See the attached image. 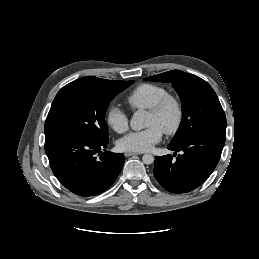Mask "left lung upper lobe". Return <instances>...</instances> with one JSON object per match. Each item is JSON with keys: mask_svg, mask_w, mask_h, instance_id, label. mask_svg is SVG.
<instances>
[{"mask_svg": "<svg viewBox=\"0 0 259 259\" xmlns=\"http://www.w3.org/2000/svg\"><path fill=\"white\" fill-rule=\"evenodd\" d=\"M144 80L170 82L181 98L183 118L171 145H181L200 133L225 135V113L215 91L206 81L180 70L168 71Z\"/></svg>", "mask_w": 259, "mask_h": 259, "instance_id": "5c2ea615", "label": "left lung upper lobe"}]
</instances>
